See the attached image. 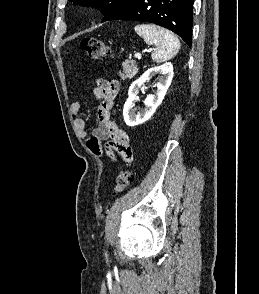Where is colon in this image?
I'll return each instance as SVG.
<instances>
[{
  "label": "colon",
  "mask_w": 259,
  "mask_h": 294,
  "mask_svg": "<svg viewBox=\"0 0 259 294\" xmlns=\"http://www.w3.org/2000/svg\"><path fill=\"white\" fill-rule=\"evenodd\" d=\"M81 49L93 59H100L108 55V45L99 38H84L80 42ZM133 181V173L128 169H122L117 177L114 187V194L126 190Z\"/></svg>",
  "instance_id": "obj_1"
}]
</instances>
